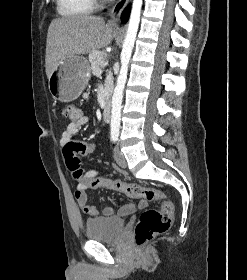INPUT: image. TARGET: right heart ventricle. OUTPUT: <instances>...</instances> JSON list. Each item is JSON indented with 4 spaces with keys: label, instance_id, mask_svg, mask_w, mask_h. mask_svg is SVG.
<instances>
[{
    "label": "right heart ventricle",
    "instance_id": "right-heart-ventricle-1",
    "mask_svg": "<svg viewBox=\"0 0 247 280\" xmlns=\"http://www.w3.org/2000/svg\"><path fill=\"white\" fill-rule=\"evenodd\" d=\"M61 16L72 17L86 15L93 11L95 0H56Z\"/></svg>",
    "mask_w": 247,
    "mask_h": 280
}]
</instances>
